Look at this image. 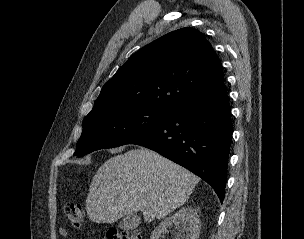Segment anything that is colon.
I'll use <instances>...</instances> for the list:
<instances>
[{
    "label": "colon",
    "mask_w": 304,
    "mask_h": 239,
    "mask_svg": "<svg viewBox=\"0 0 304 239\" xmlns=\"http://www.w3.org/2000/svg\"><path fill=\"white\" fill-rule=\"evenodd\" d=\"M65 215L69 223L74 227H80L84 221L85 211L80 203L69 202L64 207ZM106 239H142L139 231H122L110 229L107 231Z\"/></svg>",
    "instance_id": "1"
}]
</instances>
